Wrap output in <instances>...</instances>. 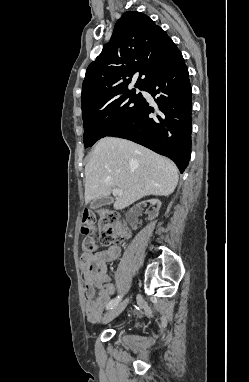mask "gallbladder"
Segmentation results:
<instances>
[{
    "mask_svg": "<svg viewBox=\"0 0 249 382\" xmlns=\"http://www.w3.org/2000/svg\"><path fill=\"white\" fill-rule=\"evenodd\" d=\"M110 203H111V200L108 197L97 198L91 202L90 208L91 209H98V208L105 206V205H108Z\"/></svg>",
    "mask_w": 249,
    "mask_h": 382,
    "instance_id": "1",
    "label": "gallbladder"
}]
</instances>
